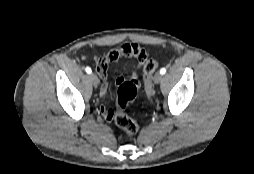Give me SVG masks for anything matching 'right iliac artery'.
<instances>
[{
  "mask_svg": "<svg viewBox=\"0 0 254 174\" xmlns=\"http://www.w3.org/2000/svg\"><path fill=\"white\" fill-rule=\"evenodd\" d=\"M86 72L88 73V74H90L91 72H92V70H91V68H89V67H86Z\"/></svg>",
  "mask_w": 254,
  "mask_h": 174,
  "instance_id": "right-iliac-artery-1",
  "label": "right iliac artery"
}]
</instances>
